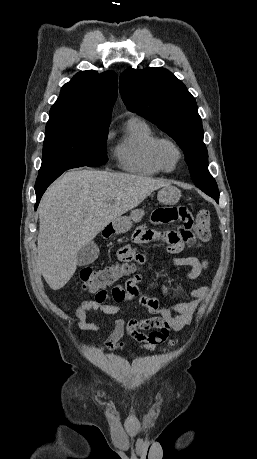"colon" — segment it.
<instances>
[{"mask_svg":"<svg viewBox=\"0 0 257 459\" xmlns=\"http://www.w3.org/2000/svg\"><path fill=\"white\" fill-rule=\"evenodd\" d=\"M194 227L197 229L195 237V245L198 246L200 242H205L210 238L211 230V216L208 209H200L195 218L193 219ZM187 248L188 247L185 244ZM141 264H116L111 265L102 269H93L91 267H85L80 272V279L83 287L90 292L96 293V299L98 301H105L107 295L105 294L106 287L114 281L134 274ZM174 344V342H172Z\"/></svg>","mask_w":257,"mask_h":459,"instance_id":"5ec220e1","label":"colon"}]
</instances>
